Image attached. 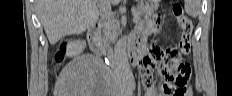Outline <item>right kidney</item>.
<instances>
[{
    "instance_id": "obj_1",
    "label": "right kidney",
    "mask_w": 232,
    "mask_h": 96,
    "mask_svg": "<svg viewBox=\"0 0 232 96\" xmlns=\"http://www.w3.org/2000/svg\"><path fill=\"white\" fill-rule=\"evenodd\" d=\"M85 46L86 43L83 40H76L73 42H69L67 46V54L69 56H76L83 51Z\"/></svg>"
}]
</instances>
